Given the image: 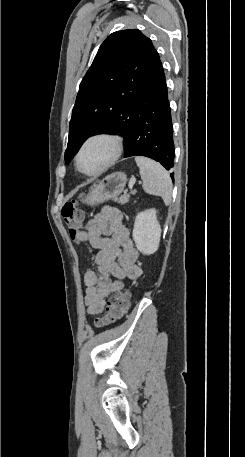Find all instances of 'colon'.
<instances>
[{"instance_id":"obj_1","label":"colon","mask_w":245,"mask_h":457,"mask_svg":"<svg viewBox=\"0 0 245 457\" xmlns=\"http://www.w3.org/2000/svg\"><path fill=\"white\" fill-rule=\"evenodd\" d=\"M61 213L71 237L76 238L82 222V212L78 201L66 202L62 207ZM129 299L130 294L128 291H122L116 294L109 301L104 314L95 319V325L97 327H103L120 320L127 310Z\"/></svg>"}]
</instances>
